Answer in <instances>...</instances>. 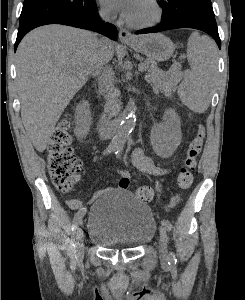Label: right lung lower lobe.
I'll return each instance as SVG.
<instances>
[{
  "instance_id": "obj_1",
  "label": "right lung lower lobe",
  "mask_w": 245,
  "mask_h": 300,
  "mask_svg": "<svg viewBox=\"0 0 245 300\" xmlns=\"http://www.w3.org/2000/svg\"><path fill=\"white\" fill-rule=\"evenodd\" d=\"M47 24H63V25L77 27V28L88 29V30H92V31L98 32L100 34H103L112 40H116V37H117L116 27L110 23H104L98 14V10L96 9L93 12H91L90 14L85 15V16L61 17V18L53 19L51 21H48L46 23H43V24H40V25H37L34 27H30V28H27L24 30H19L16 42L14 45V50L16 51L19 42L30 30H32L38 26L47 25Z\"/></svg>"
}]
</instances>
